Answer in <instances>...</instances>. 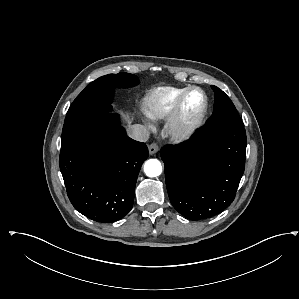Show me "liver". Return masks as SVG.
Returning a JSON list of instances; mask_svg holds the SVG:
<instances>
[{
    "label": "liver",
    "instance_id": "6515ba94",
    "mask_svg": "<svg viewBox=\"0 0 299 299\" xmlns=\"http://www.w3.org/2000/svg\"><path fill=\"white\" fill-rule=\"evenodd\" d=\"M120 114H121L126 120H129V119H130L129 114H124V113H122V112H120Z\"/></svg>",
    "mask_w": 299,
    "mask_h": 299
}]
</instances>
